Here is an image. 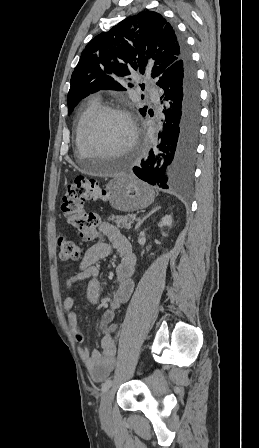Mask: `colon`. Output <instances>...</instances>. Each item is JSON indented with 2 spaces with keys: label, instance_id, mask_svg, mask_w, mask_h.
<instances>
[{
  "label": "colon",
  "instance_id": "1",
  "mask_svg": "<svg viewBox=\"0 0 259 448\" xmlns=\"http://www.w3.org/2000/svg\"><path fill=\"white\" fill-rule=\"evenodd\" d=\"M107 199V192L101 188L97 180L86 176H78L67 185L61 198V210L67 223L78 231L81 237L91 239L95 235L100 219L95 213L84 210L87 201ZM59 257L66 263L77 262L82 250L78 243L68 237L58 239Z\"/></svg>",
  "mask_w": 259,
  "mask_h": 448
}]
</instances>
